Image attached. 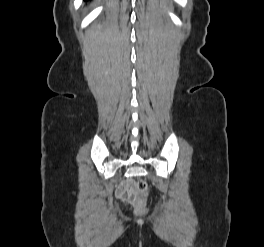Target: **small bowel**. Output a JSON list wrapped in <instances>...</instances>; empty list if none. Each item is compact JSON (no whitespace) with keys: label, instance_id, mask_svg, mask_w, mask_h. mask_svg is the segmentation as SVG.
Segmentation results:
<instances>
[{"label":"small bowel","instance_id":"obj_1","mask_svg":"<svg viewBox=\"0 0 264 247\" xmlns=\"http://www.w3.org/2000/svg\"><path fill=\"white\" fill-rule=\"evenodd\" d=\"M132 191L133 190H132V187H131L129 181H123L117 187V192H118V194H119V196L121 198H122V195H124V194H131Z\"/></svg>","mask_w":264,"mask_h":247}]
</instances>
